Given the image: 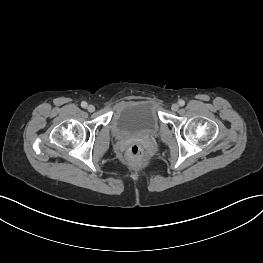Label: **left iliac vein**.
Wrapping results in <instances>:
<instances>
[{
	"label": "left iliac vein",
	"mask_w": 263,
	"mask_h": 263,
	"mask_svg": "<svg viewBox=\"0 0 263 263\" xmlns=\"http://www.w3.org/2000/svg\"><path fill=\"white\" fill-rule=\"evenodd\" d=\"M171 109L173 110V111H177L178 109H179V105L178 104H173L172 106H171Z\"/></svg>",
	"instance_id": "left-iliac-vein-1"
}]
</instances>
